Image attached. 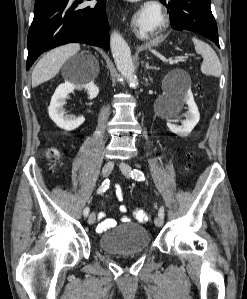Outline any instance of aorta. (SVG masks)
Here are the masks:
<instances>
[{
  "instance_id": "762f6f07",
  "label": "aorta",
  "mask_w": 247,
  "mask_h": 299,
  "mask_svg": "<svg viewBox=\"0 0 247 299\" xmlns=\"http://www.w3.org/2000/svg\"><path fill=\"white\" fill-rule=\"evenodd\" d=\"M110 48L118 71L124 75L130 87L138 86L131 51L124 38L116 31L111 34Z\"/></svg>"
}]
</instances>
